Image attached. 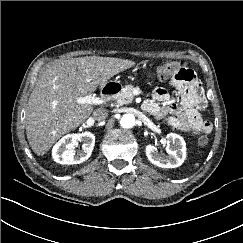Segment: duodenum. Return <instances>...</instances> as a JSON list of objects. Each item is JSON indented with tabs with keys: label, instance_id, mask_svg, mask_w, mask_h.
Returning a JSON list of instances; mask_svg holds the SVG:
<instances>
[{
	"label": "duodenum",
	"instance_id": "1",
	"mask_svg": "<svg viewBox=\"0 0 243 243\" xmlns=\"http://www.w3.org/2000/svg\"><path fill=\"white\" fill-rule=\"evenodd\" d=\"M120 91V85L118 83H108L101 91V95L104 98L110 99L114 97Z\"/></svg>",
	"mask_w": 243,
	"mask_h": 243
}]
</instances>
